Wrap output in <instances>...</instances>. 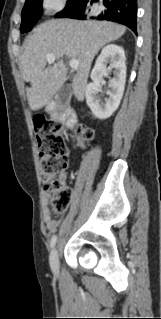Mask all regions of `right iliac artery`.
Here are the masks:
<instances>
[{"instance_id":"obj_1","label":"right iliac artery","mask_w":161,"mask_h":319,"mask_svg":"<svg viewBox=\"0 0 161 319\" xmlns=\"http://www.w3.org/2000/svg\"><path fill=\"white\" fill-rule=\"evenodd\" d=\"M56 240H57V236L53 235L52 239H51V248H53L56 244Z\"/></svg>"}]
</instances>
